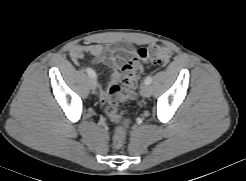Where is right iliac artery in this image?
<instances>
[{
  "mask_svg": "<svg viewBox=\"0 0 246 181\" xmlns=\"http://www.w3.org/2000/svg\"><path fill=\"white\" fill-rule=\"evenodd\" d=\"M86 72H87V74H88L91 78H94V79L97 78V75H96V73H95V71H94L93 69H91V68H86Z\"/></svg>",
  "mask_w": 246,
  "mask_h": 181,
  "instance_id": "1",
  "label": "right iliac artery"
}]
</instances>
